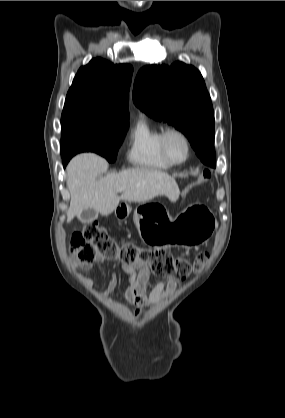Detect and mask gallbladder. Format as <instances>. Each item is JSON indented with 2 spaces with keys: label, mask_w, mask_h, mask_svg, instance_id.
Wrapping results in <instances>:
<instances>
[{
  "label": "gallbladder",
  "mask_w": 285,
  "mask_h": 418,
  "mask_svg": "<svg viewBox=\"0 0 285 418\" xmlns=\"http://www.w3.org/2000/svg\"><path fill=\"white\" fill-rule=\"evenodd\" d=\"M98 217V212L93 208H88L80 215V221L82 223H89Z\"/></svg>",
  "instance_id": "gallbladder-1"
}]
</instances>
